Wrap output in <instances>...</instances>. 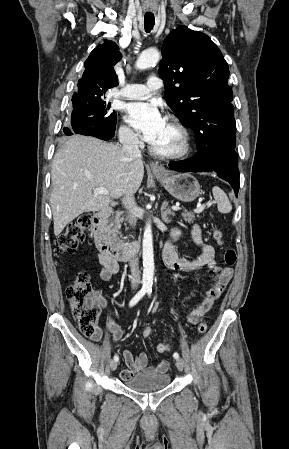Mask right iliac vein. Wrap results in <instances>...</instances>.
<instances>
[{
    "label": "right iliac vein",
    "instance_id": "1",
    "mask_svg": "<svg viewBox=\"0 0 289 449\" xmlns=\"http://www.w3.org/2000/svg\"><path fill=\"white\" fill-rule=\"evenodd\" d=\"M117 365H118V363H117V361H111L110 362V368H111V370L112 371H115L116 370V368H117Z\"/></svg>",
    "mask_w": 289,
    "mask_h": 449
}]
</instances>
